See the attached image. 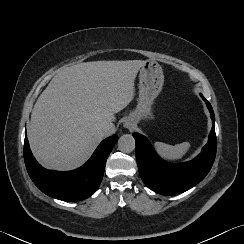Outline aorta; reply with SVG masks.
Instances as JSON below:
<instances>
[{
    "label": "aorta",
    "instance_id": "obj_1",
    "mask_svg": "<svg viewBox=\"0 0 244 244\" xmlns=\"http://www.w3.org/2000/svg\"><path fill=\"white\" fill-rule=\"evenodd\" d=\"M118 148L123 153H131L135 149V139L131 134H124L118 140Z\"/></svg>",
    "mask_w": 244,
    "mask_h": 244
}]
</instances>
